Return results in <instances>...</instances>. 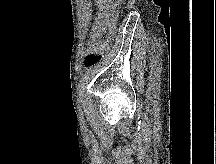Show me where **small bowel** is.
Segmentation results:
<instances>
[{
	"mask_svg": "<svg viewBox=\"0 0 216 164\" xmlns=\"http://www.w3.org/2000/svg\"><path fill=\"white\" fill-rule=\"evenodd\" d=\"M120 0H97L96 19L93 25V34L102 33L109 23L114 9ZM91 43L89 42V47Z\"/></svg>",
	"mask_w": 216,
	"mask_h": 164,
	"instance_id": "small-bowel-1",
	"label": "small bowel"
}]
</instances>
